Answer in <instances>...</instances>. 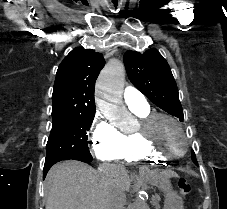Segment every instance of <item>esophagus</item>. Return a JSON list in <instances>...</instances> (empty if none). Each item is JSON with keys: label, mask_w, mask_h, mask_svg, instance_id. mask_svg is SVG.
Masks as SVG:
<instances>
[{"label": "esophagus", "mask_w": 227, "mask_h": 209, "mask_svg": "<svg viewBox=\"0 0 227 209\" xmlns=\"http://www.w3.org/2000/svg\"><path fill=\"white\" fill-rule=\"evenodd\" d=\"M138 177H148L149 176V169L144 167V169H140V172L137 173Z\"/></svg>", "instance_id": "1"}]
</instances>
